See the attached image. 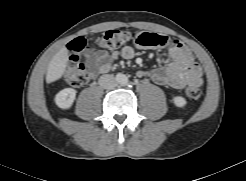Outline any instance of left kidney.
Wrapping results in <instances>:
<instances>
[{"mask_svg":"<svg viewBox=\"0 0 246 181\" xmlns=\"http://www.w3.org/2000/svg\"><path fill=\"white\" fill-rule=\"evenodd\" d=\"M173 103H174L175 106L182 108V107H184L187 104V101L182 96H175L173 98Z\"/></svg>","mask_w":246,"mask_h":181,"instance_id":"left-kidney-1","label":"left kidney"}]
</instances>
